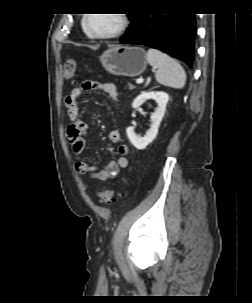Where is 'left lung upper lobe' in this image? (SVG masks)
<instances>
[{"mask_svg":"<svg viewBox=\"0 0 252 303\" xmlns=\"http://www.w3.org/2000/svg\"><path fill=\"white\" fill-rule=\"evenodd\" d=\"M142 13H136V14H131V15H128V17L131 19V25L130 27L127 29L125 35L122 37V38H125L127 37L132 31L133 29L135 28V26L137 25L139 19H140V16H141Z\"/></svg>","mask_w":252,"mask_h":303,"instance_id":"left-lung-upper-lobe-1","label":"left lung upper lobe"}]
</instances>
